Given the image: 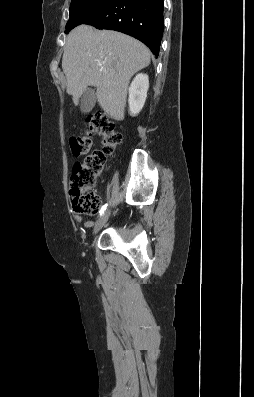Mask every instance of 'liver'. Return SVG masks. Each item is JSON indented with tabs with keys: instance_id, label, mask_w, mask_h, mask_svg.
<instances>
[{
	"instance_id": "1",
	"label": "liver",
	"mask_w": 254,
	"mask_h": 397,
	"mask_svg": "<svg viewBox=\"0 0 254 397\" xmlns=\"http://www.w3.org/2000/svg\"><path fill=\"white\" fill-rule=\"evenodd\" d=\"M149 64L150 52L138 40L88 25L68 34L62 57L67 92L74 104L88 86H94L100 107L115 120L124 119L130 79Z\"/></svg>"
}]
</instances>
